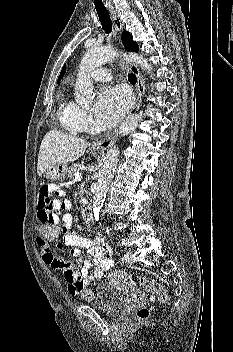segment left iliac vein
<instances>
[{
  "label": "left iliac vein",
  "mask_w": 233,
  "mask_h": 352,
  "mask_svg": "<svg viewBox=\"0 0 233 352\" xmlns=\"http://www.w3.org/2000/svg\"><path fill=\"white\" fill-rule=\"evenodd\" d=\"M126 262L127 263H132L133 262V258H132V253L131 252H126Z\"/></svg>",
  "instance_id": "4c4485c4"
}]
</instances>
